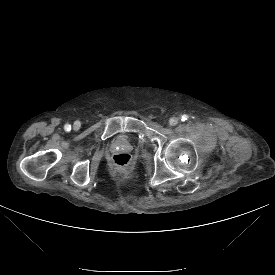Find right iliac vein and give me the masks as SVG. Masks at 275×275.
<instances>
[{
	"mask_svg": "<svg viewBox=\"0 0 275 275\" xmlns=\"http://www.w3.org/2000/svg\"><path fill=\"white\" fill-rule=\"evenodd\" d=\"M79 127H80L79 122H75V123H74V129H78Z\"/></svg>",
	"mask_w": 275,
	"mask_h": 275,
	"instance_id": "right-iliac-vein-1",
	"label": "right iliac vein"
}]
</instances>
